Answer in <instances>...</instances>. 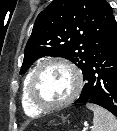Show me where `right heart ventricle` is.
I'll use <instances>...</instances> for the list:
<instances>
[{
	"label": "right heart ventricle",
	"instance_id": "obj_1",
	"mask_svg": "<svg viewBox=\"0 0 117 131\" xmlns=\"http://www.w3.org/2000/svg\"><path fill=\"white\" fill-rule=\"evenodd\" d=\"M32 72H29L25 79L23 80L22 89H21V103L24 109V112L29 116H37L41 114V110L37 109L30 101L28 95V82Z\"/></svg>",
	"mask_w": 117,
	"mask_h": 131
}]
</instances>
